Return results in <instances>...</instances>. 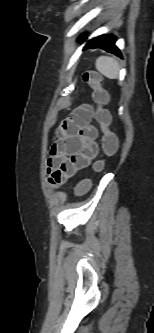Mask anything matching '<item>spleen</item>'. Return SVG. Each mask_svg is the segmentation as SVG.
Segmentation results:
<instances>
[{"instance_id":"1","label":"spleen","mask_w":154,"mask_h":333,"mask_svg":"<svg viewBox=\"0 0 154 333\" xmlns=\"http://www.w3.org/2000/svg\"><path fill=\"white\" fill-rule=\"evenodd\" d=\"M96 68L109 79H116L119 73V63L115 58L100 56L96 59Z\"/></svg>"}]
</instances>
